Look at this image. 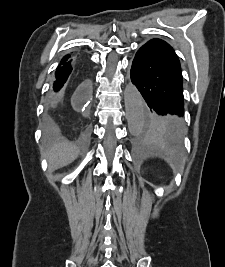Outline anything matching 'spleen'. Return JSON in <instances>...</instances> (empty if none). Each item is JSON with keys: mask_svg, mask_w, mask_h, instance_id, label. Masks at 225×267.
Returning a JSON list of instances; mask_svg holds the SVG:
<instances>
[{"mask_svg": "<svg viewBox=\"0 0 225 267\" xmlns=\"http://www.w3.org/2000/svg\"><path fill=\"white\" fill-rule=\"evenodd\" d=\"M172 167H173L174 169H176V167H175L174 165H172Z\"/></svg>", "mask_w": 225, "mask_h": 267, "instance_id": "3e777b00", "label": "spleen"}]
</instances>
